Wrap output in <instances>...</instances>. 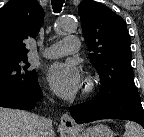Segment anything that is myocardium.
I'll list each match as a JSON object with an SVG mask.
<instances>
[{"mask_svg": "<svg viewBox=\"0 0 144 137\" xmlns=\"http://www.w3.org/2000/svg\"><path fill=\"white\" fill-rule=\"evenodd\" d=\"M95 86H96V82L94 77L90 75L87 76L85 80V87H84L85 94L91 93L95 89Z\"/></svg>", "mask_w": 144, "mask_h": 137, "instance_id": "1", "label": "myocardium"}]
</instances>
